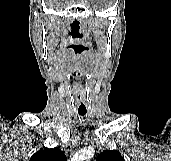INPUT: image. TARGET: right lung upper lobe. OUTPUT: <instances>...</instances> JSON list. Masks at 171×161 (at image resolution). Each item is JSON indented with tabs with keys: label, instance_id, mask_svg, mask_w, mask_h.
I'll return each mask as SVG.
<instances>
[{
	"label": "right lung upper lobe",
	"instance_id": "obj_1",
	"mask_svg": "<svg viewBox=\"0 0 171 161\" xmlns=\"http://www.w3.org/2000/svg\"><path fill=\"white\" fill-rule=\"evenodd\" d=\"M30 161H66V156L57 147L43 148L33 154Z\"/></svg>",
	"mask_w": 171,
	"mask_h": 161
}]
</instances>
